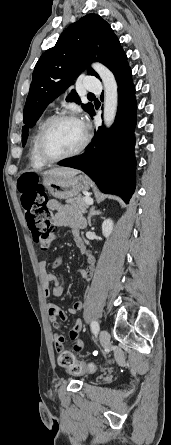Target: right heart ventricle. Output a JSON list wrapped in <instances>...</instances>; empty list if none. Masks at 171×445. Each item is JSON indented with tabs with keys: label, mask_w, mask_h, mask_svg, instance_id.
<instances>
[{
	"label": "right heart ventricle",
	"mask_w": 171,
	"mask_h": 445,
	"mask_svg": "<svg viewBox=\"0 0 171 445\" xmlns=\"http://www.w3.org/2000/svg\"><path fill=\"white\" fill-rule=\"evenodd\" d=\"M49 118H50V116H46L44 119L41 120V122L38 124V126L32 136V139H31L29 159H30L31 165L35 168L43 167L46 164L39 158V156L37 154L36 142H37V137L39 135V132H40L42 126Z\"/></svg>",
	"instance_id": "obj_1"
}]
</instances>
